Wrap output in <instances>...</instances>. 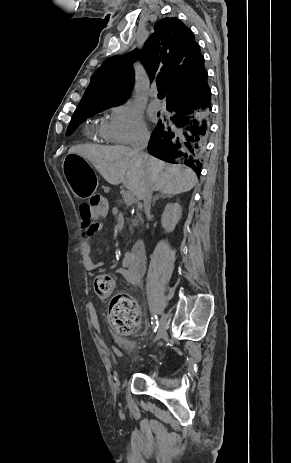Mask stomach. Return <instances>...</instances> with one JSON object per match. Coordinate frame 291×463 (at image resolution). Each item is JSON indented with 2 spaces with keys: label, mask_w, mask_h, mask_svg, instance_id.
Listing matches in <instances>:
<instances>
[{
  "label": "stomach",
  "mask_w": 291,
  "mask_h": 463,
  "mask_svg": "<svg viewBox=\"0 0 291 463\" xmlns=\"http://www.w3.org/2000/svg\"><path fill=\"white\" fill-rule=\"evenodd\" d=\"M63 172L71 191L77 198L86 199L94 193L96 177L85 158L70 151L64 160Z\"/></svg>",
  "instance_id": "stomach-1"
}]
</instances>
